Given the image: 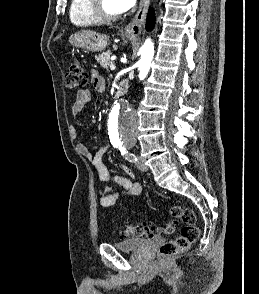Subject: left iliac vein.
<instances>
[{
	"mask_svg": "<svg viewBox=\"0 0 259 294\" xmlns=\"http://www.w3.org/2000/svg\"><path fill=\"white\" fill-rule=\"evenodd\" d=\"M136 160V166L139 170L141 171H147L148 167L145 165L144 161L141 159V157H139L138 155L135 156Z\"/></svg>",
	"mask_w": 259,
	"mask_h": 294,
	"instance_id": "left-iliac-vein-1",
	"label": "left iliac vein"
}]
</instances>
